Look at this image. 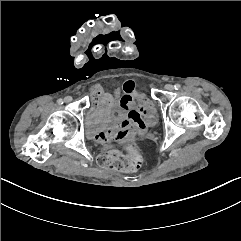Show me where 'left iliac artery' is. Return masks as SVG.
Returning a JSON list of instances; mask_svg holds the SVG:
<instances>
[{"instance_id":"44dca946","label":"left iliac artery","mask_w":241,"mask_h":241,"mask_svg":"<svg viewBox=\"0 0 241 241\" xmlns=\"http://www.w3.org/2000/svg\"><path fill=\"white\" fill-rule=\"evenodd\" d=\"M174 88H175V90H179L181 88V85L177 83L174 85Z\"/></svg>"}]
</instances>
